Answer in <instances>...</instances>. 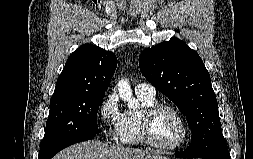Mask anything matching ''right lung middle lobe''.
Returning a JSON list of instances; mask_svg holds the SVG:
<instances>
[{
  "instance_id": "1",
  "label": "right lung middle lobe",
  "mask_w": 253,
  "mask_h": 159,
  "mask_svg": "<svg viewBox=\"0 0 253 159\" xmlns=\"http://www.w3.org/2000/svg\"><path fill=\"white\" fill-rule=\"evenodd\" d=\"M105 94L79 93L51 98L50 112L38 159L58 145L87 134H96L97 112Z\"/></svg>"
}]
</instances>
